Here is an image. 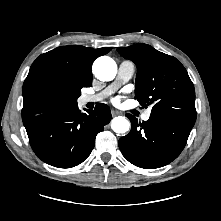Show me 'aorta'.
<instances>
[{
  "mask_svg": "<svg viewBox=\"0 0 221 221\" xmlns=\"http://www.w3.org/2000/svg\"><path fill=\"white\" fill-rule=\"evenodd\" d=\"M93 72L101 81H111L117 73V65L115 61L107 56L99 57L93 64ZM111 128L116 133H125L130 129V122L122 116L112 119Z\"/></svg>",
  "mask_w": 221,
  "mask_h": 221,
  "instance_id": "762f6f07",
  "label": "aorta"
}]
</instances>
